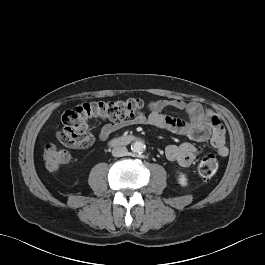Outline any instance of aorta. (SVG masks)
<instances>
[{
  "label": "aorta",
  "instance_id": "aorta-1",
  "mask_svg": "<svg viewBox=\"0 0 265 265\" xmlns=\"http://www.w3.org/2000/svg\"><path fill=\"white\" fill-rule=\"evenodd\" d=\"M145 144L144 142L142 141H136L134 142L132 145H131V150L134 152V153H143L145 151Z\"/></svg>",
  "mask_w": 265,
  "mask_h": 265
}]
</instances>
